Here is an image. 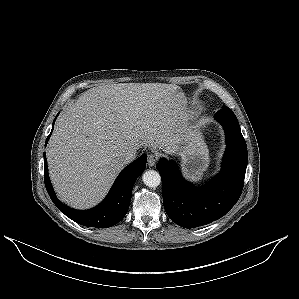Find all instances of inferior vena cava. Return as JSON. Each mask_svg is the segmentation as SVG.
<instances>
[{
  "instance_id": "obj_1",
  "label": "inferior vena cava",
  "mask_w": 299,
  "mask_h": 299,
  "mask_svg": "<svg viewBox=\"0 0 299 299\" xmlns=\"http://www.w3.org/2000/svg\"><path fill=\"white\" fill-rule=\"evenodd\" d=\"M136 156H137V150L134 148H130L122 154L121 160L124 164H128L133 160H135Z\"/></svg>"
}]
</instances>
